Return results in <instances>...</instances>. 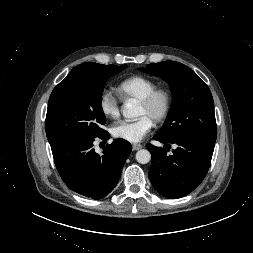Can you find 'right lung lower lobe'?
Wrapping results in <instances>:
<instances>
[{
  "label": "right lung lower lobe",
  "mask_w": 253,
  "mask_h": 253,
  "mask_svg": "<svg viewBox=\"0 0 253 253\" xmlns=\"http://www.w3.org/2000/svg\"><path fill=\"white\" fill-rule=\"evenodd\" d=\"M98 138L107 141L105 131ZM92 139H78L52 146L56 168L65 184L74 192L101 199L108 195L119 181L123 165L132 151L131 144L115 139L107 144L102 154L95 152Z\"/></svg>",
  "instance_id": "obj_1"
}]
</instances>
